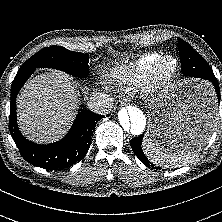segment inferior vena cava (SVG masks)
<instances>
[{"label":"inferior vena cava","instance_id":"obj_1","mask_svg":"<svg viewBox=\"0 0 222 222\" xmlns=\"http://www.w3.org/2000/svg\"><path fill=\"white\" fill-rule=\"evenodd\" d=\"M88 108L98 114H107L113 108V98L110 95L96 93L89 98Z\"/></svg>","mask_w":222,"mask_h":222}]
</instances>
